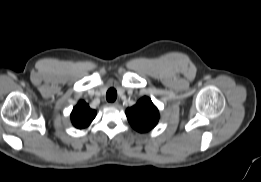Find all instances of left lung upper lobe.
I'll return each instance as SVG.
<instances>
[{
    "instance_id": "obj_1",
    "label": "left lung upper lobe",
    "mask_w": 261,
    "mask_h": 182,
    "mask_svg": "<svg viewBox=\"0 0 261 182\" xmlns=\"http://www.w3.org/2000/svg\"><path fill=\"white\" fill-rule=\"evenodd\" d=\"M131 126L139 132L154 128L159 120V112L148 97L141 98L134 106L126 110Z\"/></svg>"
}]
</instances>
